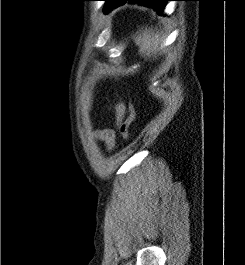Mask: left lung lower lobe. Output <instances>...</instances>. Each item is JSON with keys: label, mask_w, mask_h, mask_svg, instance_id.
<instances>
[{"label": "left lung lower lobe", "mask_w": 245, "mask_h": 265, "mask_svg": "<svg viewBox=\"0 0 245 265\" xmlns=\"http://www.w3.org/2000/svg\"><path fill=\"white\" fill-rule=\"evenodd\" d=\"M167 1H172V0H108L106 1L103 11L104 13H107L117 6L125 4L126 2H130V3H139L146 6H151L157 11L158 14H162L163 9L165 7V3Z\"/></svg>", "instance_id": "0a47b994"}]
</instances>
